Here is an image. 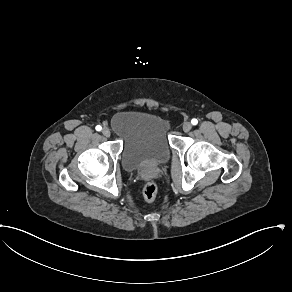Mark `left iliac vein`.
<instances>
[{
  "instance_id": "obj_1",
  "label": "left iliac vein",
  "mask_w": 292,
  "mask_h": 292,
  "mask_svg": "<svg viewBox=\"0 0 292 292\" xmlns=\"http://www.w3.org/2000/svg\"><path fill=\"white\" fill-rule=\"evenodd\" d=\"M182 128L184 132H189L192 128V124L190 122H185Z\"/></svg>"
}]
</instances>
